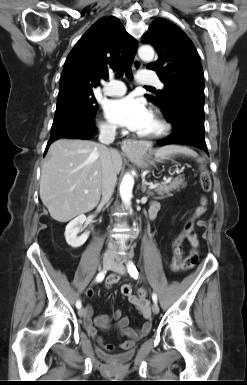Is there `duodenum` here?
<instances>
[{
  "mask_svg": "<svg viewBox=\"0 0 247 385\" xmlns=\"http://www.w3.org/2000/svg\"><path fill=\"white\" fill-rule=\"evenodd\" d=\"M151 214H152V216H151L150 218L153 219V218L155 217V213H152V212H151Z\"/></svg>",
  "mask_w": 247,
  "mask_h": 385,
  "instance_id": "duodenum-1",
  "label": "duodenum"
}]
</instances>
